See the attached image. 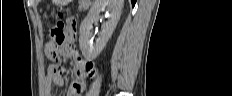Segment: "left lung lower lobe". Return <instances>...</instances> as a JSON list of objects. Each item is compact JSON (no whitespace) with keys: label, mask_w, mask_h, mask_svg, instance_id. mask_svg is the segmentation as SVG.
<instances>
[{"label":"left lung lower lobe","mask_w":232,"mask_h":96,"mask_svg":"<svg viewBox=\"0 0 232 96\" xmlns=\"http://www.w3.org/2000/svg\"><path fill=\"white\" fill-rule=\"evenodd\" d=\"M131 2H132V6H134L135 5V0H131Z\"/></svg>","instance_id":"0a47b994"}]
</instances>
